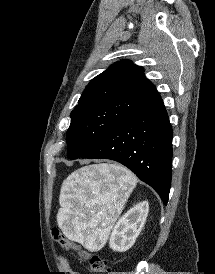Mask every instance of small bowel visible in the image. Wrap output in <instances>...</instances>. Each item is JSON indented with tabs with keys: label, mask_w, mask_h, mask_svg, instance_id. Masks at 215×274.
<instances>
[{
	"label": "small bowel",
	"mask_w": 215,
	"mask_h": 274,
	"mask_svg": "<svg viewBox=\"0 0 215 274\" xmlns=\"http://www.w3.org/2000/svg\"><path fill=\"white\" fill-rule=\"evenodd\" d=\"M62 265H63V267L66 269V270H69L70 269V267H69V264H68V262H67V260L66 259H62ZM72 274H79V273H77V272H73Z\"/></svg>",
	"instance_id": "obj_1"
}]
</instances>
